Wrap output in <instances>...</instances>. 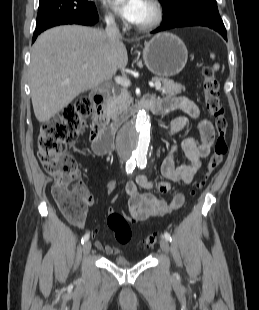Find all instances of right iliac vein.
I'll return each instance as SVG.
<instances>
[{
  "instance_id": "63e3f726",
  "label": "right iliac vein",
  "mask_w": 259,
  "mask_h": 310,
  "mask_svg": "<svg viewBox=\"0 0 259 310\" xmlns=\"http://www.w3.org/2000/svg\"><path fill=\"white\" fill-rule=\"evenodd\" d=\"M91 250V242L86 241L83 245V253L84 255H87Z\"/></svg>"
}]
</instances>
